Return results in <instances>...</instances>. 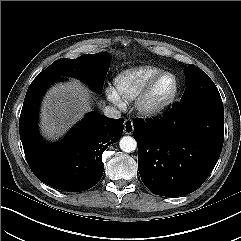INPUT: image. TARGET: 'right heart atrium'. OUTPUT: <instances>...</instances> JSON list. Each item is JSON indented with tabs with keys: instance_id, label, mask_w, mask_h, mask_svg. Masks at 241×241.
<instances>
[{
	"instance_id": "1",
	"label": "right heart atrium",
	"mask_w": 241,
	"mask_h": 241,
	"mask_svg": "<svg viewBox=\"0 0 241 241\" xmlns=\"http://www.w3.org/2000/svg\"><path fill=\"white\" fill-rule=\"evenodd\" d=\"M106 96L110 102H112L113 104H115L117 106H121L123 104L122 99L120 98V96L117 94V92L112 87H108L106 89Z\"/></svg>"
}]
</instances>
